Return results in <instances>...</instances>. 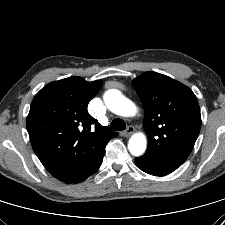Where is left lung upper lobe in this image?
<instances>
[{
	"label": "left lung upper lobe",
	"instance_id": "obj_1",
	"mask_svg": "<svg viewBox=\"0 0 225 225\" xmlns=\"http://www.w3.org/2000/svg\"><path fill=\"white\" fill-rule=\"evenodd\" d=\"M132 84L145 110L146 152L182 165L201 127L195 94L180 82L156 72H146Z\"/></svg>",
	"mask_w": 225,
	"mask_h": 225
}]
</instances>
